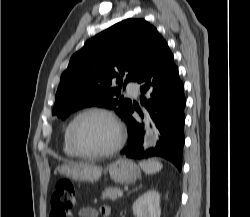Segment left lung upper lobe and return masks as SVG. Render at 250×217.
Masks as SVG:
<instances>
[{
    "mask_svg": "<svg viewBox=\"0 0 250 217\" xmlns=\"http://www.w3.org/2000/svg\"><path fill=\"white\" fill-rule=\"evenodd\" d=\"M163 37L144 19H126L88 40L70 59L56 93L53 114L61 119L87 106L114 109L124 120L132 106L120 97L151 65ZM119 82V88L111 87Z\"/></svg>",
    "mask_w": 250,
    "mask_h": 217,
    "instance_id": "1",
    "label": "left lung upper lobe"
}]
</instances>
